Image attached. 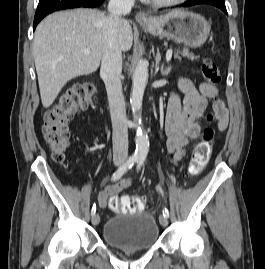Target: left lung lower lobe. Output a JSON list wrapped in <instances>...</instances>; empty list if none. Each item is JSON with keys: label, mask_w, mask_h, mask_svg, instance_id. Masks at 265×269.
Wrapping results in <instances>:
<instances>
[{"label": "left lung lower lobe", "mask_w": 265, "mask_h": 269, "mask_svg": "<svg viewBox=\"0 0 265 269\" xmlns=\"http://www.w3.org/2000/svg\"><path fill=\"white\" fill-rule=\"evenodd\" d=\"M198 4H208V5L215 6L227 14L224 0H190L188 3L185 4V6L188 7V6L198 5Z\"/></svg>", "instance_id": "0a47b994"}]
</instances>
